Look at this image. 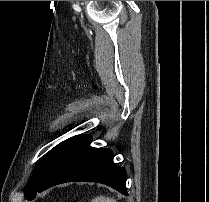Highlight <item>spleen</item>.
<instances>
[{
    "mask_svg": "<svg viewBox=\"0 0 209 202\" xmlns=\"http://www.w3.org/2000/svg\"><path fill=\"white\" fill-rule=\"evenodd\" d=\"M91 202H116V200L110 197L98 196L94 198Z\"/></svg>",
    "mask_w": 209,
    "mask_h": 202,
    "instance_id": "obj_1",
    "label": "spleen"
}]
</instances>
